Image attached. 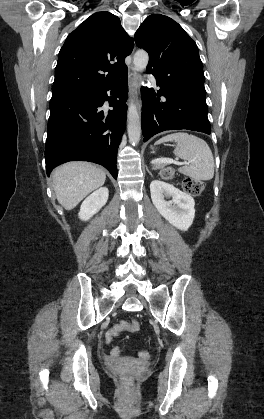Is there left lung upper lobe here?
Segmentation results:
<instances>
[{
    "instance_id": "left-lung-upper-lobe-1",
    "label": "left lung upper lobe",
    "mask_w": 264,
    "mask_h": 419,
    "mask_svg": "<svg viewBox=\"0 0 264 419\" xmlns=\"http://www.w3.org/2000/svg\"><path fill=\"white\" fill-rule=\"evenodd\" d=\"M139 48L149 53L146 71L165 82H183L188 89L204 84L203 64L196 43L171 18L153 14L135 33Z\"/></svg>"
}]
</instances>
